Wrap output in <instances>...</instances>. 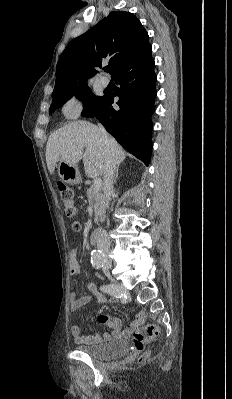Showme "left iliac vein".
Here are the masks:
<instances>
[{
    "instance_id": "left-iliac-vein-1",
    "label": "left iliac vein",
    "mask_w": 232,
    "mask_h": 399,
    "mask_svg": "<svg viewBox=\"0 0 232 399\" xmlns=\"http://www.w3.org/2000/svg\"><path fill=\"white\" fill-rule=\"evenodd\" d=\"M102 271L104 272L105 275H108L109 272H110V269L107 268V267H103V268H102Z\"/></svg>"
}]
</instances>
